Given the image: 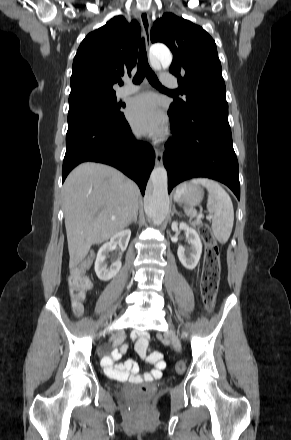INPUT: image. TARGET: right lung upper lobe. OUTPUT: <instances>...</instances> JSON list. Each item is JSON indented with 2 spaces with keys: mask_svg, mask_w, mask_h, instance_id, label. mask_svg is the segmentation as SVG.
<instances>
[{
  "mask_svg": "<svg viewBox=\"0 0 291 440\" xmlns=\"http://www.w3.org/2000/svg\"><path fill=\"white\" fill-rule=\"evenodd\" d=\"M140 25L115 16L81 42L73 60L69 101L85 96L115 95L120 76L136 65Z\"/></svg>",
  "mask_w": 291,
  "mask_h": 440,
  "instance_id": "obj_1",
  "label": "right lung upper lobe"
}]
</instances>
